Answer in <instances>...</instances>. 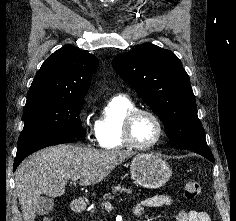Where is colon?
Returning a JSON list of instances; mask_svg holds the SVG:
<instances>
[{"instance_id":"colon-1","label":"colon","mask_w":236,"mask_h":221,"mask_svg":"<svg viewBox=\"0 0 236 221\" xmlns=\"http://www.w3.org/2000/svg\"><path fill=\"white\" fill-rule=\"evenodd\" d=\"M201 193V186L195 180H188L184 186V194L187 199H194ZM39 221H55L53 218L44 217Z\"/></svg>"}]
</instances>
